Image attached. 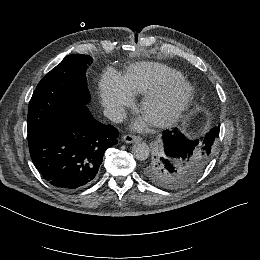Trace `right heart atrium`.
Returning <instances> with one entry per match:
<instances>
[{
  "mask_svg": "<svg viewBox=\"0 0 260 260\" xmlns=\"http://www.w3.org/2000/svg\"><path fill=\"white\" fill-rule=\"evenodd\" d=\"M99 90L104 104H109L117 98L115 81L109 73L102 76L99 83Z\"/></svg>",
  "mask_w": 260,
  "mask_h": 260,
  "instance_id": "right-heart-atrium-1",
  "label": "right heart atrium"
}]
</instances>
